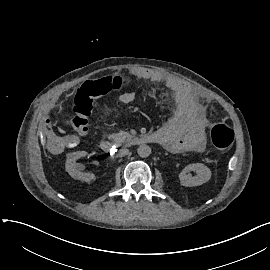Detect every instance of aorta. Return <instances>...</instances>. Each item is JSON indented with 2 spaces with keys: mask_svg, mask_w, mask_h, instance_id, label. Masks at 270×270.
Here are the masks:
<instances>
[{
  "mask_svg": "<svg viewBox=\"0 0 270 270\" xmlns=\"http://www.w3.org/2000/svg\"><path fill=\"white\" fill-rule=\"evenodd\" d=\"M137 153L140 157H148L151 154V148L146 144H142L138 147Z\"/></svg>",
  "mask_w": 270,
  "mask_h": 270,
  "instance_id": "aorta-1",
  "label": "aorta"
}]
</instances>
